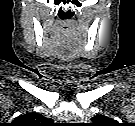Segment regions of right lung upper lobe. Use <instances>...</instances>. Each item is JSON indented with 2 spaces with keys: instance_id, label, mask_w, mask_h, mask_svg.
<instances>
[{
  "instance_id": "cb5924a9",
  "label": "right lung upper lobe",
  "mask_w": 135,
  "mask_h": 126,
  "mask_svg": "<svg viewBox=\"0 0 135 126\" xmlns=\"http://www.w3.org/2000/svg\"><path fill=\"white\" fill-rule=\"evenodd\" d=\"M40 118V115L39 114H36V113H29V114H25V115H22V116H19L15 119V121H18V120H35V119H39Z\"/></svg>"
}]
</instances>
